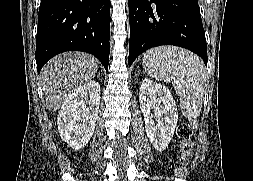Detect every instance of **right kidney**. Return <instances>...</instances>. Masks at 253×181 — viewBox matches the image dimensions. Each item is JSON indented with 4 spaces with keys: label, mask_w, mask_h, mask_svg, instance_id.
Here are the masks:
<instances>
[{
    "label": "right kidney",
    "mask_w": 253,
    "mask_h": 181,
    "mask_svg": "<svg viewBox=\"0 0 253 181\" xmlns=\"http://www.w3.org/2000/svg\"><path fill=\"white\" fill-rule=\"evenodd\" d=\"M100 85L92 80L72 91L62 104L57 124L61 139L75 150L84 148L94 133Z\"/></svg>",
    "instance_id": "right-kidney-1"
}]
</instances>
